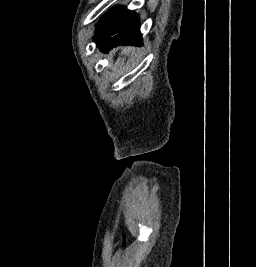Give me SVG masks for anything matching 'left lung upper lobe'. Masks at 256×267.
<instances>
[{
  "instance_id": "1",
  "label": "left lung upper lobe",
  "mask_w": 256,
  "mask_h": 267,
  "mask_svg": "<svg viewBox=\"0 0 256 267\" xmlns=\"http://www.w3.org/2000/svg\"><path fill=\"white\" fill-rule=\"evenodd\" d=\"M94 40L103 52L119 44L142 45L138 16L124 7H114L99 21Z\"/></svg>"
}]
</instances>
